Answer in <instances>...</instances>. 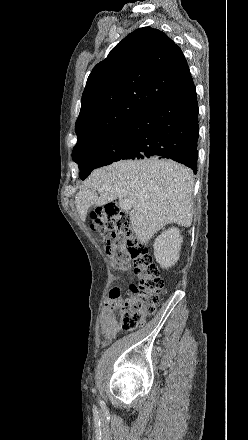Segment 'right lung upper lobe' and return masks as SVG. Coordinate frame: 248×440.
Segmentation results:
<instances>
[{
  "instance_id": "right-lung-upper-lobe-1",
  "label": "right lung upper lobe",
  "mask_w": 248,
  "mask_h": 440,
  "mask_svg": "<svg viewBox=\"0 0 248 440\" xmlns=\"http://www.w3.org/2000/svg\"><path fill=\"white\" fill-rule=\"evenodd\" d=\"M193 87L179 46L158 29L133 31L87 79L75 125L78 141L74 149L127 125L151 105Z\"/></svg>"
}]
</instances>
